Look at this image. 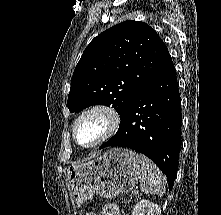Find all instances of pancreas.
I'll list each match as a JSON object with an SVG mask.
<instances>
[{"label":"pancreas","mask_w":221,"mask_h":215,"mask_svg":"<svg viewBox=\"0 0 221 215\" xmlns=\"http://www.w3.org/2000/svg\"><path fill=\"white\" fill-rule=\"evenodd\" d=\"M126 205L131 203V200L124 202Z\"/></svg>","instance_id":"cf45deb5"}]
</instances>
